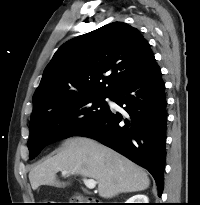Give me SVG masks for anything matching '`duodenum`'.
Wrapping results in <instances>:
<instances>
[{"instance_id": "1", "label": "duodenum", "mask_w": 200, "mask_h": 205, "mask_svg": "<svg viewBox=\"0 0 200 205\" xmlns=\"http://www.w3.org/2000/svg\"><path fill=\"white\" fill-rule=\"evenodd\" d=\"M77 198H78L79 200H82V201H97V200L94 199V198L84 197V196L81 195V194H77Z\"/></svg>"}]
</instances>
